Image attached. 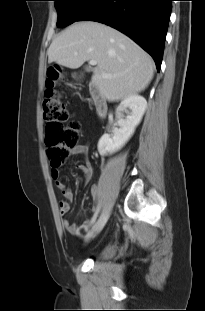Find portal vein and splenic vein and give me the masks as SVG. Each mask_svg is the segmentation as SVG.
I'll use <instances>...</instances> for the list:
<instances>
[{"mask_svg": "<svg viewBox=\"0 0 205 311\" xmlns=\"http://www.w3.org/2000/svg\"><path fill=\"white\" fill-rule=\"evenodd\" d=\"M91 65H97V61H95V60H91L90 62H89ZM102 76L103 77H110V75L109 74H107V73H102Z\"/></svg>", "mask_w": 205, "mask_h": 311, "instance_id": "18ae733b", "label": "portal vein and splenic vein"}]
</instances>
